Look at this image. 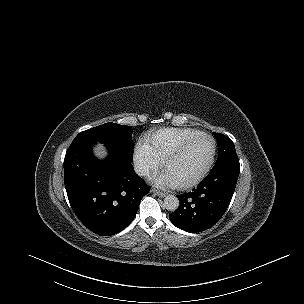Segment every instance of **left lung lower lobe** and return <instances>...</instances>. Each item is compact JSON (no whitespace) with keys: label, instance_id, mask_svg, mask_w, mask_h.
I'll list each match as a JSON object with an SVG mask.
<instances>
[{"label":"left lung lower lobe","instance_id":"left-lung-lower-lobe-1","mask_svg":"<svg viewBox=\"0 0 304 304\" xmlns=\"http://www.w3.org/2000/svg\"><path fill=\"white\" fill-rule=\"evenodd\" d=\"M240 173V163L232 162L212 170L192 192L177 195L179 208L170 221L187 232H200L213 226L226 212Z\"/></svg>","mask_w":304,"mask_h":304}]
</instances>
